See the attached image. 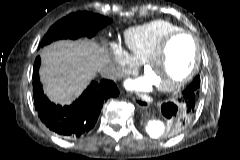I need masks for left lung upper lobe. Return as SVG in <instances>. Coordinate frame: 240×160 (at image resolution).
I'll return each instance as SVG.
<instances>
[{
	"mask_svg": "<svg viewBox=\"0 0 240 160\" xmlns=\"http://www.w3.org/2000/svg\"><path fill=\"white\" fill-rule=\"evenodd\" d=\"M190 85L194 86L195 91H199V89H200V77L197 76ZM190 120L188 122H190ZM188 122H186V123H180L179 122L176 125H174V129L182 130L188 124Z\"/></svg>",
	"mask_w": 240,
	"mask_h": 160,
	"instance_id": "1",
	"label": "left lung upper lobe"
}]
</instances>
